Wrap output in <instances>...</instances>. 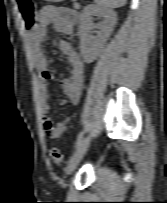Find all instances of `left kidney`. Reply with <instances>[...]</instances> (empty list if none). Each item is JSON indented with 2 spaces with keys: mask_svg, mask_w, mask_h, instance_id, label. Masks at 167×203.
Wrapping results in <instances>:
<instances>
[{
  "mask_svg": "<svg viewBox=\"0 0 167 203\" xmlns=\"http://www.w3.org/2000/svg\"><path fill=\"white\" fill-rule=\"evenodd\" d=\"M94 16L103 18V21L99 25L100 32L97 38L92 42L89 33L93 28L92 18ZM116 22L117 14L112 10L99 5H89L84 9L79 26V36L81 54L86 63H92L100 55Z\"/></svg>",
  "mask_w": 167,
  "mask_h": 203,
  "instance_id": "left-kidney-1",
  "label": "left kidney"
}]
</instances>
